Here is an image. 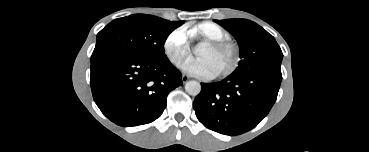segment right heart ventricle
<instances>
[{
    "label": "right heart ventricle",
    "mask_w": 369,
    "mask_h": 152,
    "mask_svg": "<svg viewBox=\"0 0 369 152\" xmlns=\"http://www.w3.org/2000/svg\"><path fill=\"white\" fill-rule=\"evenodd\" d=\"M189 38L196 42L197 45H203L211 40L228 39V32L218 24L211 21L200 22L185 28Z\"/></svg>",
    "instance_id": "1"
}]
</instances>
